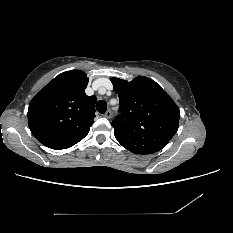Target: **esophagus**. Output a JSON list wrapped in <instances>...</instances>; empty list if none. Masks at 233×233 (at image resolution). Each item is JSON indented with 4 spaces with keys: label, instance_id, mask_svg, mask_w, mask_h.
I'll use <instances>...</instances> for the list:
<instances>
[{
    "label": "esophagus",
    "instance_id": "esophagus-1",
    "mask_svg": "<svg viewBox=\"0 0 233 233\" xmlns=\"http://www.w3.org/2000/svg\"><path fill=\"white\" fill-rule=\"evenodd\" d=\"M106 118H111L112 112L110 110L106 111L105 114L103 115Z\"/></svg>",
    "mask_w": 233,
    "mask_h": 233
}]
</instances>
